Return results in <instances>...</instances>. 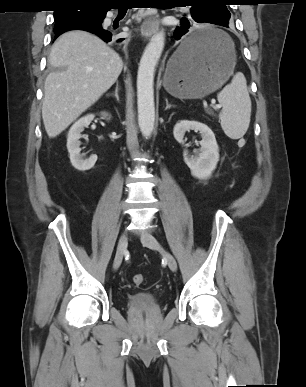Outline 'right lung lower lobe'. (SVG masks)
<instances>
[{
  "label": "right lung lower lobe",
  "instance_id": "1",
  "mask_svg": "<svg viewBox=\"0 0 306 387\" xmlns=\"http://www.w3.org/2000/svg\"><path fill=\"white\" fill-rule=\"evenodd\" d=\"M110 10V9H109ZM108 10H104L103 17L105 18L106 13ZM117 27H106L102 25V20L101 21H94L92 24H78L73 27L67 28L65 30L55 32L57 38L60 34L69 31V30H85L91 33H94L98 35L102 40L105 42H114V43H119L122 41V39H117L116 38V30Z\"/></svg>",
  "mask_w": 306,
  "mask_h": 387
}]
</instances>
